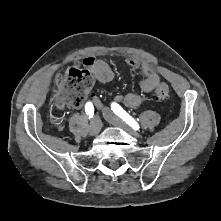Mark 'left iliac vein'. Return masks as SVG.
Instances as JSON below:
<instances>
[{
	"label": "left iliac vein",
	"instance_id": "obj_1",
	"mask_svg": "<svg viewBox=\"0 0 221 221\" xmlns=\"http://www.w3.org/2000/svg\"><path fill=\"white\" fill-rule=\"evenodd\" d=\"M103 116L110 124L124 129L126 132L130 133L131 135H133L135 137L140 136V134L138 132L134 131L124 121H122L120 118H118L110 109L104 108L103 109Z\"/></svg>",
	"mask_w": 221,
	"mask_h": 221
}]
</instances>
